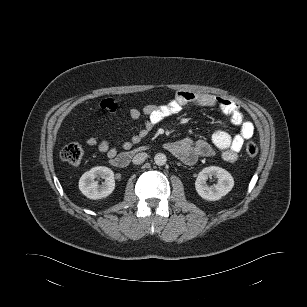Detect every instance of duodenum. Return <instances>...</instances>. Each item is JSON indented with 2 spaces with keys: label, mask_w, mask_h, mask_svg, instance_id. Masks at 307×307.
Masks as SVG:
<instances>
[{
  "label": "duodenum",
  "mask_w": 307,
  "mask_h": 307,
  "mask_svg": "<svg viewBox=\"0 0 307 307\" xmlns=\"http://www.w3.org/2000/svg\"><path fill=\"white\" fill-rule=\"evenodd\" d=\"M144 148L140 147L137 149L129 150L118 154L115 159L111 161L112 165L117 168H125L130 164L132 157L142 151Z\"/></svg>",
  "instance_id": "1"
}]
</instances>
